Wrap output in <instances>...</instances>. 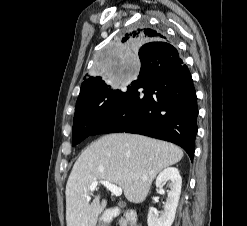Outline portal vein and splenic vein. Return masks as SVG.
<instances>
[{"label": "portal vein and splenic vein", "instance_id": "18ae733b", "mask_svg": "<svg viewBox=\"0 0 247 226\" xmlns=\"http://www.w3.org/2000/svg\"><path fill=\"white\" fill-rule=\"evenodd\" d=\"M98 184H102L106 189H108L109 191H111V193L113 195H115L116 197L122 195V188L118 187L108 181L105 180H99V181H94L91 185H90V190L94 191L97 187ZM88 200H90V197H88Z\"/></svg>", "mask_w": 247, "mask_h": 226}]
</instances>
